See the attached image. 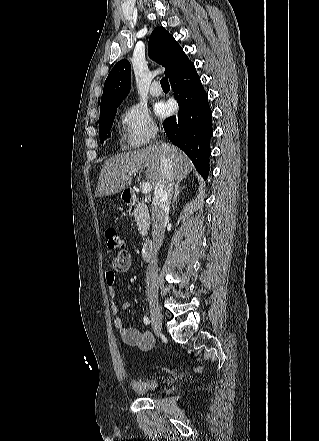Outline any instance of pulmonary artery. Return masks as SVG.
Listing matches in <instances>:
<instances>
[{
	"mask_svg": "<svg viewBox=\"0 0 319 441\" xmlns=\"http://www.w3.org/2000/svg\"><path fill=\"white\" fill-rule=\"evenodd\" d=\"M150 93L153 96H160L162 94V89L158 86V84L155 82L150 87Z\"/></svg>",
	"mask_w": 319,
	"mask_h": 441,
	"instance_id": "e3ab8cb5",
	"label": "pulmonary artery"
}]
</instances>
